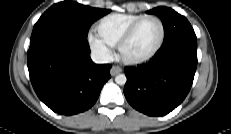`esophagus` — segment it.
Returning <instances> with one entry per match:
<instances>
[{"instance_id":"1","label":"esophagus","mask_w":231,"mask_h":134,"mask_svg":"<svg viewBox=\"0 0 231 134\" xmlns=\"http://www.w3.org/2000/svg\"><path fill=\"white\" fill-rule=\"evenodd\" d=\"M122 69L119 66H112L110 69L111 76H116L117 74L121 73Z\"/></svg>"}]
</instances>
